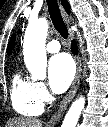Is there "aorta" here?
<instances>
[{
	"label": "aorta",
	"mask_w": 108,
	"mask_h": 127,
	"mask_svg": "<svg viewBox=\"0 0 108 127\" xmlns=\"http://www.w3.org/2000/svg\"><path fill=\"white\" fill-rule=\"evenodd\" d=\"M48 27V21L45 18H39L29 21L25 31L23 55L32 80H43L46 78L47 56L45 42ZM84 106V97L81 96L75 100L64 118L62 127H76Z\"/></svg>",
	"instance_id": "aorta-1"
}]
</instances>
